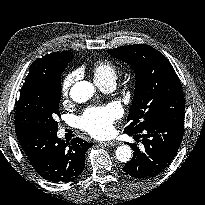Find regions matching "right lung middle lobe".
Wrapping results in <instances>:
<instances>
[{"instance_id": "dd1d6c3e", "label": "right lung middle lobe", "mask_w": 205, "mask_h": 205, "mask_svg": "<svg viewBox=\"0 0 205 205\" xmlns=\"http://www.w3.org/2000/svg\"><path fill=\"white\" fill-rule=\"evenodd\" d=\"M65 66L49 76L24 82L17 101L16 132H57L60 117L61 73Z\"/></svg>"}]
</instances>
